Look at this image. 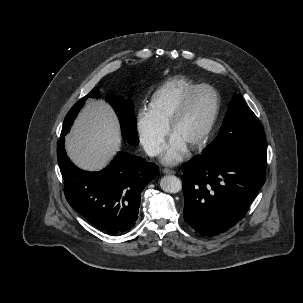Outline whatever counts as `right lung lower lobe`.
<instances>
[{
    "mask_svg": "<svg viewBox=\"0 0 303 303\" xmlns=\"http://www.w3.org/2000/svg\"><path fill=\"white\" fill-rule=\"evenodd\" d=\"M57 159L68 203L97 228L110 234L131 230L138 218L141 192L158 175V167L127 152H119L99 172L77 168L67 157L64 136Z\"/></svg>",
    "mask_w": 303,
    "mask_h": 303,
    "instance_id": "1",
    "label": "right lung lower lobe"
}]
</instances>
